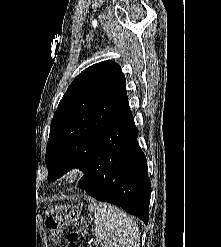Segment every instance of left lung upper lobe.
<instances>
[{"instance_id": "5c2ea615", "label": "left lung upper lobe", "mask_w": 221, "mask_h": 247, "mask_svg": "<svg viewBox=\"0 0 221 247\" xmlns=\"http://www.w3.org/2000/svg\"><path fill=\"white\" fill-rule=\"evenodd\" d=\"M131 115L120 66L103 61L82 71L62 97L50 126L45 162L48 180L84 170L106 129Z\"/></svg>"}]
</instances>
